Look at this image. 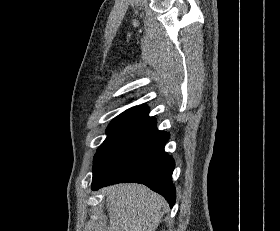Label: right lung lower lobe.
<instances>
[{
  "mask_svg": "<svg viewBox=\"0 0 280 231\" xmlns=\"http://www.w3.org/2000/svg\"><path fill=\"white\" fill-rule=\"evenodd\" d=\"M169 134L156 128L155 119L135 125L107 144L93 161L92 190L120 182H136L161 194L172 207L174 160L164 152Z\"/></svg>",
  "mask_w": 280,
  "mask_h": 231,
  "instance_id": "98d812e1",
  "label": "right lung lower lobe"
}]
</instances>
